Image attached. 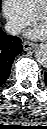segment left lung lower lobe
Masks as SVG:
<instances>
[{"instance_id": "1", "label": "left lung lower lobe", "mask_w": 47, "mask_h": 129, "mask_svg": "<svg viewBox=\"0 0 47 129\" xmlns=\"http://www.w3.org/2000/svg\"><path fill=\"white\" fill-rule=\"evenodd\" d=\"M45 81H46V84H47V72H45Z\"/></svg>"}]
</instances>
